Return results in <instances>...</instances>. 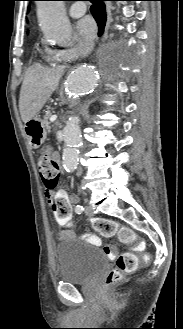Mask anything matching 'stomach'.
I'll return each mask as SVG.
<instances>
[{
    "label": "stomach",
    "mask_w": 183,
    "mask_h": 329,
    "mask_svg": "<svg viewBox=\"0 0 183 329\" xmlns=\"http://www.w3.org/2000/svg\"><path fill=\"white\" fill-rule=\"evenodd\" d=\"M24 132L31 148H39L45 141L47 129L39 116H34L24 125Z\"/></svg>",
    "instance_id": "stomach-1"
}]
</instances>
